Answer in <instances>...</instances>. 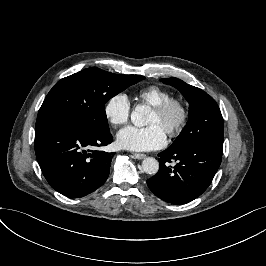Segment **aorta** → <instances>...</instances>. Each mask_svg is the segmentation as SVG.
Segmentation results:
<instances>
[{"instance_id": "aorta-1", "label": "aorta", "mask_w": 266, "mask_h": 266, "mask_svg": "<svg viewBox=\"0 0 266 266\" xmlns=\"http://www.w3.org/2000/svg\"><path fill=\"white\" fill-rule=\"evenodd\" d=\"M147 113H149L147 106H136L135 110L131 113V122L136 127L147 125ZM142 169L147 174L155 175L159 170V162L153 157H147L142 161Z\"/></svg>"}]
</instances>
